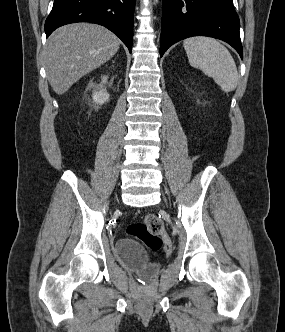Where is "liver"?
<instances>
[{
    "label": "liver",
    "mask_w": 285,
    "mask_h": 332,
    "mask_svg": "<svg viewBox=\"0 0 285 332\" xmlns=\"http://www.w3.org/2000/svg\"><path fill=\"white\" fill-rule=\"evenodd\" d=\"M120 40L111 31L92 23H74L55 30L45 48L49 84L58 95L80 78L110 60Z\"/></svg>",
    "instance_id": "obj_1"
}]
</instances>
